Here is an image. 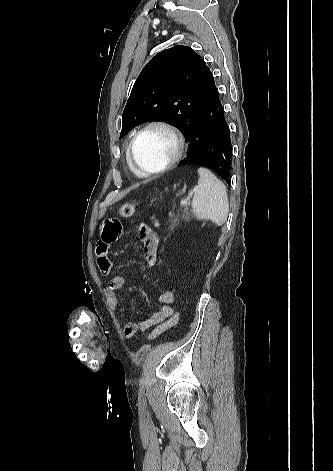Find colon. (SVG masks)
<instances>
[{"instance_id":"5ec220e1","label":"colon","mask_w":333,"mask_h":471,"mask_svg":"<svg viewBox=\"0 0 333 471\" xmlns=\"http://www.w3.org/2000/svg\"><path fill=\"white\" fill-rule=\"evenodd\" d=\"M136 208H137V205L135 203H126L119 208V214L123 218L131 217L135 213ZM178 323H179V313L175 312V314L170 319H168L167 321L157 326L148 335L147 339L149 341L155 339L166 330L176 327Z\"/></svg>"}]
</instances>
